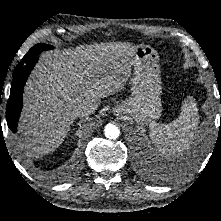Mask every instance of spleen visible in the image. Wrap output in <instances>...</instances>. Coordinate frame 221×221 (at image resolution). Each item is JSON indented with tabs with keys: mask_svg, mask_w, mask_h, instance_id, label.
Segmentation results:
<instances>
[{
	"mask_svg": "<svg viewBox=\"0 0 221 221\" xmlns=\"http://www.w3.org/2000/svg\"><path fill=\"white\" fill-rule=\"evenodd\" d=\"M199 115L192 97L184 100L178 118L169 123L152 122L149 134L157 150L165 156H179L198 135Z\"/></svg>",
	"mask_w": 221,
	"mask_h": 221,
	"instance_id": "1",
	"label": "spleen"
}]
</instances>
